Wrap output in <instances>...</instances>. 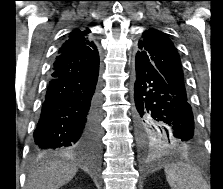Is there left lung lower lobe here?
<instances>
[{"label": "left lung lower lobe", "instance_id": "0a47b994", "mask_svg": "<svg viewBox=\"0 0 223 189\" xmlns=\"http://www.w3.org/2000/svg\"><path fill=\"white\" fill-rule=\"evenodd\" d=\"M135 118L138 131L158 126L182 147H195L200 138L189 101L153 67L135 60Z\"/></svg>", "mask_w": 223, "mask_h": 189}]
</instances>
